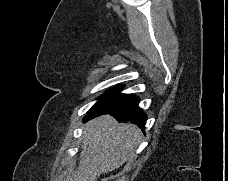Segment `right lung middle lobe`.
Instances as JSON below:
<instances>
[{
  "label": "right lung middle lobe",
  "instance_id": "right-lung-middle-lobe-1",
  "mask_svg": "<svg viewBox=\"0 0 228 181\" xmlns=\"http://www.w3.org/2000/svg\"><path fill=\"white\" fill-rule=\"evenodd\" d=\"M119 89H110L103 97H101L95 105L91 108H96L106 104L107 102L111 101L112 99L116 98L119 95Z\"/></svg>",
  "mask_w": 228,
  "mask_h": 181
}]
</instances>
